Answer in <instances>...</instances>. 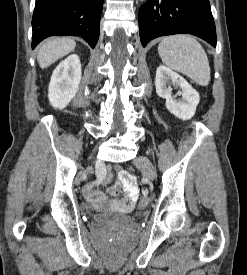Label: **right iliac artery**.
Returning a JSON list of instances; mask_svg holds the SVG:
<instances>
[{
  "label": "right iliac artery",
  "mask_w": 247,
  "mask_h": 275,
  "mask_svg": "<svg viewBox=\"0 0 247 275\" xmlns=\"http://www.w3.org/2000/svg\"><path fill=\"white\" fill-rule=\"evenodd\" d=\"M96 179L106 180L107 179V167L106 164H95Z\"/></svg>",
  "instance_id": "82829eb1"
}]
</instances>
